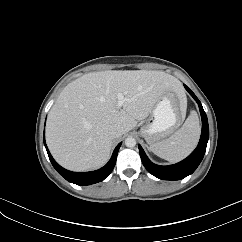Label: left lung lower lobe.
Segmentation results:
<instances>
[{"instance_id": "left-lung-lower-lobe-1", "label": "left lung lower lobe", "mask_w": 242, "mask_h": 242, "mask_svg": "<svg viewBox=\"0 0 242 242\" xmlns=\"http://www.w3.org/2000/svg\"><path fill=\"white\" fill-rule=\"evenodd\" d=\"M184 86L186 90L190 93V95L198 103L202 117V132L200 141L196 149L186 159L177 164L169 166H159L152 163L146 156L142 147L138 145L141 160L145 168L149 171V173L162 180H180L192 174L203 159V156L206 151L207 142L209 139L208 120L206 113L204 112L203 107L201 105V102L186 85Z\"/></svg>"}]
</instances>
